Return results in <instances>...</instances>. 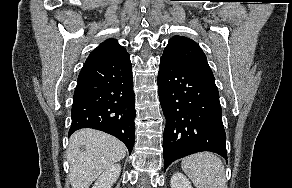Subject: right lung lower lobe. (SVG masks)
Listing matches in <instances>:
<instances>
[{
	"label": "right lung lower lobe",
	"instance_id": "right-lung-lower-lobe-1",
	"mask_svg": "<svg viewBox=\"0 0 292 188\" xmlns=\"http://www.w3.org/2000/svg\"><path fill=\"white\" fill-rule=\"evenodd\" d=\"M134 105L129 54L86 61L73 96L69 135L81 128L101 130L121 140L131 153L135 141Z\"/></svg>",
	"mask_w": 292,
	"mask_h": 188
}]
</instances>
